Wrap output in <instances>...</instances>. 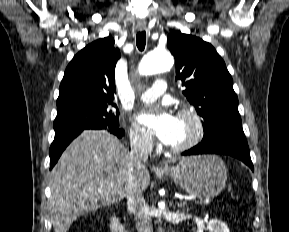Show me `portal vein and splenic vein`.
<instances>
[{
  "label": "portal vein and splenic vein",
  "mask_w": 289,
  "mask_h": 232,
  "mask_svg": "<svg viewBox=\"0 0 289 232\" xmlns=\"http://www.w3.org/2000/svg\"><path fill=\"white\" fill-rule=\"evenodd\" d=\"M190 200H191V201H195V202H197L198 204L203 205V206L208 205V204H210V202H211V200H209V199L196 201L194 198H191Z\"/></svg>",
  "instance_id": "18ae733b"
}]
</instances>
